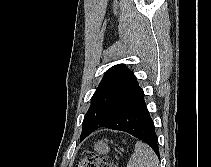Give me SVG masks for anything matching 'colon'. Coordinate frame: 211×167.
Here are the masks:
<instances>
[{
  "mask_svg": "<svg viewBox=\"0 0 211 167\" xmlns=\"http://www.w3.org/2000/svg\"><path fill=\"white\" fill-rule=\"evenodd\" d=\"M76 167H116L113 162L96 154L86 155Z\"/></svg>",
  "mask_w": 211,
  "mask_h": 167,
  "instance_id": "colon-1",
  "label": "colon"
}]
</instances>
